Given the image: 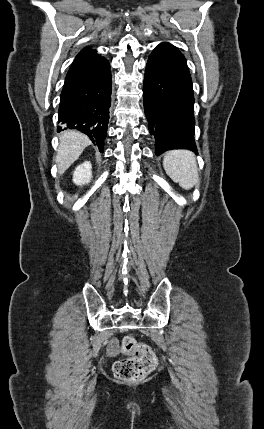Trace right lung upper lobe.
Returning <instances> with one entry per match:
<instances>
[{
    "label": "right lung upper lobe",
    "mask_w": 264,
    "mask_h": 429,
    "mask_svg": "<svg viewBox=\"0 0 264 429\" xmlns=\"http://www.w3.org/2000/svg\"><path fill=\"white\" fill-rule=\"evenodd\" d=\"M94 50H91L90 48H84L77 56H76V59L77 58H80V57H82V56H84V55H86V54H89V53H91V52H93Z\"/></svg>",
    "instance_id": "right-lung-upper-lobe-1"
}]
</instances>
